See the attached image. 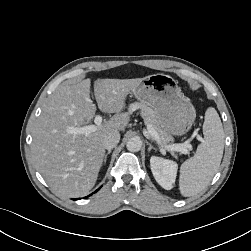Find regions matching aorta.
<instances>
[{"label":"aorta","instance_id":"aorta-1","mask_svg":"<svg viewBox=\"0 0 251 251\" xmlns=\"http://www.w3.org/2000/svg\"><path fill=\"white\" fill-rule=\"evenodd\" d=\"M142 147V140L138 136L129 138L126 148L131 152H138Z\"/></svg>","mask_w":251,"mask_h":251}]
</instances>
